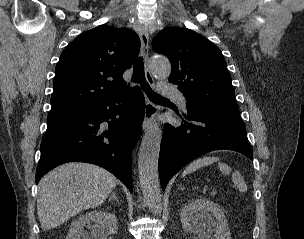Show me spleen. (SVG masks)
<instances>
[{
    "mask_svg": "<svg viewBox=\"0 0 304 239\" xmlns=\"http://www.w3.org/2000/svg\"><path fill=\"white\" fill-rule=\"evenodd\" d=\"M219 161V158L217 157H202V158H198L197 160L191 162L183 171L182 175L185 176L189 173H192L196 170H198L199 168H202L204 166H207L209 164H212L214 162ZM218 168L219 170L224 174V175H229L231 172V168L230 166H228L225 163H218ZM232 180L233 182L237 185L238 189L240 192H246L247 191V185L244 182V179L242 178V176L240 175V173L238 171H235L232 174Z\"/></svg>",
    "mask_w": 304,
    "mask_h": 239,
    "instance_id": "obj_1",
    "label": "spleen"
}]
</instances>
